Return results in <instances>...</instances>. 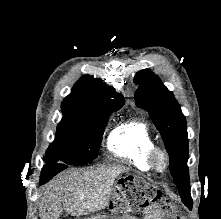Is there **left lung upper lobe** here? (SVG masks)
Wrapping results in <instances>:
<instances>
[{"instance_id":"1","label":"left lung upper lobe","mask_w":221,"mask_h":219,"mask_svg":"<svg viewBox=\"0 0 221 219\" xmlns=\"http://www.w3.org/2000/svg\"><path fill=\"white\" fill-rule=\"evenodd\" d=\"M134 81L140 84L135 95L136 104L148 111L163 137L170 155V172L183 203L192 208L188 174V136L185 116L174 95L149 69L136 73Z\"/></svg>"}]
</instances>
